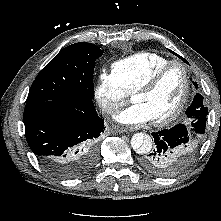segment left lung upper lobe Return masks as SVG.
Segmentation results:
<instances>
[{
  "label": "left lung upper lobe",
  "instance_id": "1",
  "mask_svg": "<svg viewBox=\"0 0 221 221\" xmlns=\"http://www.w3.org/2000/svg\"><path fill=\"white\" fill-rule=\"evenodd\" d=\"M194 86L197 88V83L193 82ZM186 115L190 120L191 130L197 138L204 134L206 127V120L208 115V108L203 104V96L199 93H196L192 104L186 110Z\"/></svg>",
  "mask_w": 221,
  "mask_h": 221
}]
</instances>
